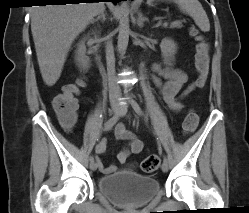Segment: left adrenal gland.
Masks as SVG:
<instances>
[{
  "label": "left adrenal gland",
  "instance_id": "1",
  "mask_svg": "<svg viewBox=\"0 0 249 213\" xmlns=\"http://www.w3.org/2000/svg\"><path fill=\"white\" fill-rule=\"evenodd\" d=\"M145 21H148V18L144 17L143 14L141 12L138 13V18H137V25L139 27L143 26V23Z\"/></svg>",
  "mask_w": 249,
  "mask_h": 213
}]
</instances>
